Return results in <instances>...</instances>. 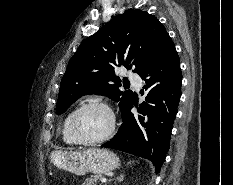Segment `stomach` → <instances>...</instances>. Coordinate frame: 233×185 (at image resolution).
<instances>
[{"label": "stomach", "mask_w": 233, "mask_h": 185, "mask_svg": "<svg viewBox=\"0 0 233 185\" xmlns=\"http://www.w3.org/2000/svg\"><path fill=\"white\" fill-rule=\"evenodd\" d=\"M51 162L59 169L76 175L88 172L100 175L119 166V158L107 149H90L87 151H54Z\"/></svg>", "instance_id": "stomach-1"}]
</instances>
